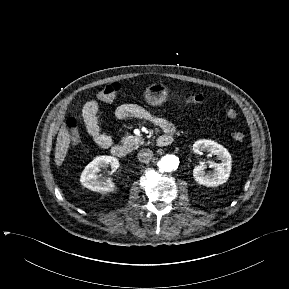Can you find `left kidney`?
<instances>
[{
    "label": "left kidney",
    "instance_id": "5707ae66",
    "mask_svg": "<svg viewBox=\"0 0 289 289\" xmlns=\"http://www.w3.org/2000/svg\"><path fill=\"white\" fill-rule=\"evenodd\" d=\"M193 150L197 154H202V151L210 152L209 156L217 155L221 163L212 162L214 168L212 173L206 174L204 165L196 166L193 170V177L200 185L207 187H217L225 183L231 172L232 158L230 153L222 145L212 140H198L193 144Z\"/></svg>",
    "mask_w": 289,
    "mask_h": 289
}]
</instances>
